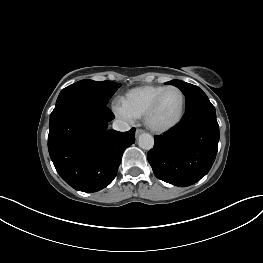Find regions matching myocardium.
Returning a JSON list of instances; mask_svg holds the SVG:
<instances>
[{
	"mask_svg": "<svg viewBox=\"0 0 263 263\" xmlns=\"http://www.w3.org/2000/svg\"><path fill=\"white\" fill-rule=\"evenodd\" d=\"M177 90L180 94H181V97H182V106H181V110H180V113L178 115V117L172 121L171 123L169 124H166V125H162V126H159V125H155L153 122H152V117L162 99V97L165 95V93L169 90ZM185 111H186V96H185V93L183 92V90L177 86H174V85H170V86H166L154 99L153 101L151 102V104L149 105L145 115H144V122L146 124V126L154 131V132H157V133H163V132H167L171 129H173L174 127H176L183 119L184 115H185Z\"/></svg>",
	"mask_w": 263,
	"mask_h": 263,
	"instance_id": "myocardium-1",
	"label": "myocardium"
}]
</instances>
